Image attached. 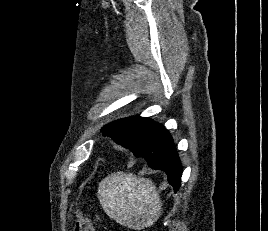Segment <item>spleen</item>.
<instances>
[{"label":"spleen","instance_id":"3e777b00","mask_svg":"<svg viewBox=\"0 0 268 231\" xmlns=\"http://www.w3.org/2000/svg\"><path fill=\"white\" fill-rule=\"evenodd\" d=\"M98 198L110 218L129 228L149 227L161 216L159 193L147 178L113 173L99 184Z\"/></svg>","mask_w":268,"mask_h":231}]
</instances>
